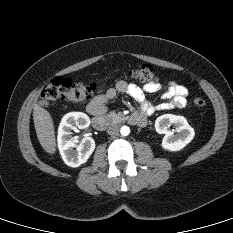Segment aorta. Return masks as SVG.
I'll list each match as a JSON object with an SVG mask.
<instances>
[{
  "label": "aorta",
  "mask_w": 233,
  "mask_h": 233,
  "mask_svg": "<svg viewBox=\"0 0 233 233\" xmlns=\"http://www.w3.org/2000/svg\"><path fill=\"white\" fill-rule=\"evenodd\" d=\"M120 133L123 136H127L130 133V128L128 126H122L120 129Z\"/></svg>",
  "instance_id": "1"
}]
</instances>
